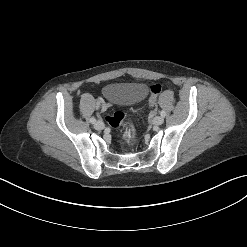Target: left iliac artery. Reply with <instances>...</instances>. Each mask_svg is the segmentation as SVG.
<instances>
[{
    "label": "left iliac artery",
    "mask_w": 247,
    "mask_h": 247,
    "mask_svg": "<svg viewBox=\"0 0 247 247\" xmlns=\"http://www.w3.org/2000/svg\"><path fill=\"white\" fill-rule=\"evenodd\" d=\"M160 114H161L162 117H165L166 116V112L163 111V110L160 112Z\"/></svg>",
    "instance_id": "obj_1"
}]
</instances>
